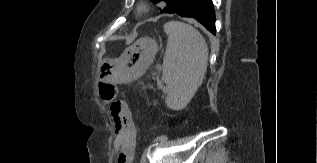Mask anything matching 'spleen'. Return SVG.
<instances>
[{
    "label": "spleen",
    "mask_w": 317,
    "mask_h": 163,
    "mask_svg": "<svg viewBox=\"0 0 317 163\" xmlns=\"http://www.w3.org/2000/svg\"><path fill=\"white\" fill-rule=\"evenodd\" d=\"M164 31L168 36L162 75L168 86L165 103L172 110H181L204 79L208 47L199 31L189 24L170 21L164 25Z\"/></svg>",
    "instance_id": "spleen-1"
}]
</instances>
